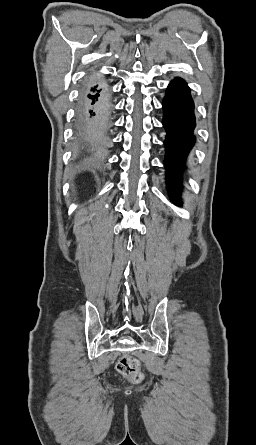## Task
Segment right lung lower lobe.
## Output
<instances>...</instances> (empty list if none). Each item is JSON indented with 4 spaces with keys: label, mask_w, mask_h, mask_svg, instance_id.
I'll return each instance as SVG.
<instances>
[{
    "label": "right lung lower lobe",
    "mask_w": 256,
    "mask_h": 445,
    "mask_svg": "<svg viewBox=\"0 0 256 445\" xmlns=\"http://www.w3.org/2000/svg\"><path fill=\"white\" fill-rule=\"evenodd\" d=\"M110 108V95L104 82L92 81L85 86L78 108V131L86 141V149L96 157L108 141Z\"/></svg>",
    "instance_id": "1"
}]
</instances>
